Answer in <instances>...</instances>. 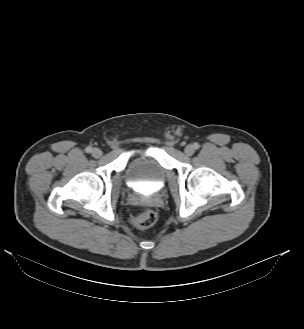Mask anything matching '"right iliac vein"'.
<instances>
[{"label": "right iliac vein", "mask_w": 304, "mask_h": 329, "mask_svg": "<svg viewBox=\"0 0 304 329\" xmlns=\"http://www.w3.org/2000/svg\"><path fill=\"white\" fill-rule=\"evenodd\" d=\"M92 156L95 158H99L102 156V151L99 148H94L92 150Z\"/></svg>", "instance_id": "right-iliac-vein-1"}]
</instances>
